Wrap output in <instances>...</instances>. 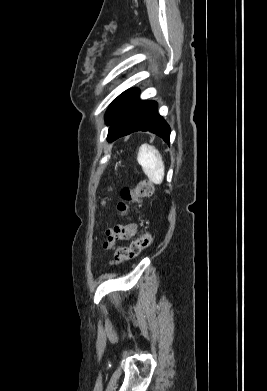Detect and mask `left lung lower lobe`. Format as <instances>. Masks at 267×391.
<instances>
[{
    "instance_id": "obj_1",
    "label": "left lung lower lobe",
    "mask_w": 267,
    "mask_h": 391,
    "mask_svg": "<svg viewBox=\"0 0 267 391\" xmlns=\"http://www.w3.org/2000/svg\"><path fill=\"white\" fill-rule=\"evenodd\" d=\"M108 130V141L135 131H149L169 143L170 127L158 114L157 103L139 99L138 90H132L117 107Z\"/></svg>"
}]
</instances>
